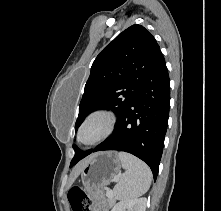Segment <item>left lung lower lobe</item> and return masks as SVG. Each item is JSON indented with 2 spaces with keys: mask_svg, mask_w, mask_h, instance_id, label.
<instances>
[{
  "mask_svg": "<svg viewBox=\"0 0 221 211\" xmlns=\"http://www.w3.org/2000/svg\"><path fill=\"white\" fill-rule=\"evenodd\" d=\"M169 108V75L165 59L160 52L149 68L137 95L116 124L114 133L90 153L105 150L131 153L147 163L156 180Z\"/></svg>",
  "mask_w": 221,
  "mask_h": 211,
  "instance_id": "0a47b994",
  "label": "left lung lower lobe"
}]
</instances>
